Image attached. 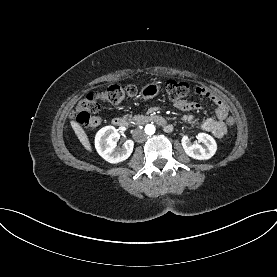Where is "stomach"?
Wrapping results in <instances>:
<instances>
[{
    "instance_id": "0dacf381",
    "label": "stomach",
    "mask_w": 277,
    "mask_h": 277,
    "mask_svg": "<svg viewBox=\"0 0 277 277\" xmlns=\"http://www.w3.org/2000/svg\"><path fill=\"white\" fill-rule=\"evenodd\" d=\"M160 92V85L153 81L142 87L139 96L144 100H149L156 97Z\"/></svg>"
}]
</instances>
